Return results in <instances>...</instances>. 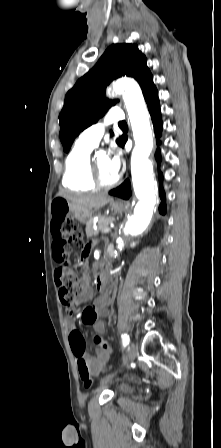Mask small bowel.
<instances>
[{
	"label": "small bowel",
	"instance_id": "c3829d8e",
	"mask_svg": "<svg viewBox=\"0 0 221 448\" xmlns=\"http://www.w3.org/2000/svg\"><path fill=\"white\" fill-rule=\"evenodd\" d=\"M58 228H59V224H57L53 221V213H52L51 231H52V236H53V255L54 256H55V253L57 252L56 244L60 241L59 236L56 233V230ZM80 283L82 286V291H81L80 295L78 296V298H76L75 302L71 306L67 307L69 317L65 320V326H66L67 332L69 334V340H70L71 333L76 330L73 325L72 318H71L73 308H74V306L83 303L84 301L89 299L91 296V291L89 289L86 277H82L80 280ZM108 304H109V298L107 297L106 294H102L94 300L92 307L96 311L97 317L106 316L108 314ZM82 319H83V317H82ZM93 327L96 330V332H98L100 334L104 333V331H105V325H104L103 321H101L98 318H97L96 322L94 323ZM82 339H83V337H82ZM83 342H84V347H85L84 339H83ZM70 346H71L73 355L78 359L71 343H70ZM111 354H112V348L108 344L103 342V345L98 346V348L96 350V355H88L85 353V349H84V353H83L82 357L87 362L88 367L90 368L91 372L95 375H98L103 370L104 366L108 363Z\"/></svg>",
	"mask_w": 221,
	"mask_h": 448
}]
</instances>
